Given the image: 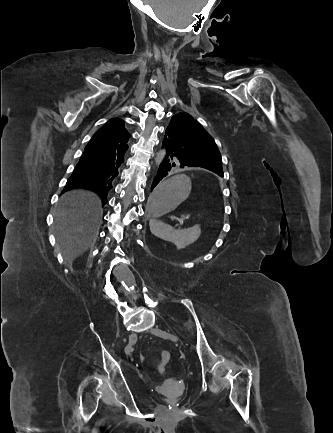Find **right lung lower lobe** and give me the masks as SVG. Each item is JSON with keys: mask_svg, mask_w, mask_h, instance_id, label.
I'll return each mask as SVG.
<instances>
[{"mask_svg": "<svg viewBox=\"0 0 333 433\" xmlns=\"http://www.w3.org/2000/svg\"><path fill=\"white\" fill-rule=\"evenodd\" d=\"M127 149L128 145L118 148H100L97 145V139L92 137L63 192L75 188L89 189L98 192L105 205L107 194L118 177Z\"/></svg>", "mask_w": 333, "mask_h": 433, "instance_id": "obj_1", "label": "right lung lower lobe"}]
</instances>
